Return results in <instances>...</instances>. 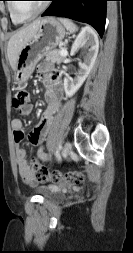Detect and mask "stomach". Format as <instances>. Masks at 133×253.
Returning a JSON list of instances; mask_svg holds the SVG:
<instances>
[{
	"mask_svg": "<svg viewBox=\"0 0 133 253\" xmlns=\"http://www.w3.org/2000/svg\"><path fill=\"white\" fill-rule=\"evenodd\" d=\"M65 28L53 17L42 19L35 36L20 51L14 70V82L25 83L38 61L50 50L62 43Z\"/></svg>",
	"mask_w": 133,
	"mask_h": 253,
	"instance_id": "obj_1",
	"label": "stomach"
}]
</instances>
